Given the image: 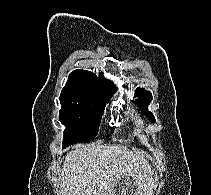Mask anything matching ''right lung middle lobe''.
I'll use <instances>...</instances> for the list:
<instances>
[{"mask_svg": "<svg viewBox=\"0 0 211 195\" xmlns=\"http://www.w3.org/2000/svg\"><path fill=\"white\" fill-rule=\"evenodd\" d=\"M59 120L66 129L63 147L94 139L99 130L106 103L62 101Z\"/></svg>", "mask_w": 211, "mask_h": 195, "instance_id": "obj_1", "label": "right lung middle lobe"}]
</instances>
